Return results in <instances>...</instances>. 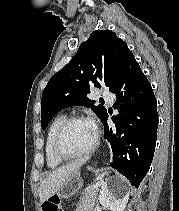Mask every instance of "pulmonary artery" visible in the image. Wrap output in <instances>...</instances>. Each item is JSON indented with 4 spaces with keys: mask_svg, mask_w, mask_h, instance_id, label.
<instances>
[{
    "mask_svg": "<svg viewBox=\"0 0 179 211\" xmlns=\"http://www.w3.org/2000/svg\"><path fill=\"white\" fill-rule=\"evenodd\" d=\"M101 96L106 99L108 102H112L113 101V94L108 91V90H102L101 91Z\"/></svg>",
    "mask_w": 179,
    "mask_h": 211,
    "instance_id": "e3ab8cb5",
    "label": "pulmonary artery"
}]
</instances>
